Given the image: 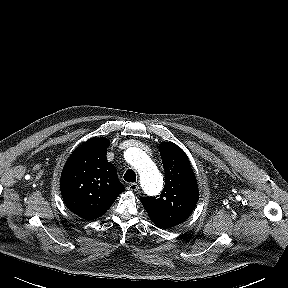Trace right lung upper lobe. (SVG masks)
Wrapping results in <instances>:
<instances>
[{
    "label": "right lung upper lobe",
    "instance_id": "right-lung-upper-lobe-1",
    "mask_svg": "<svg viewBox=\"0 0 288 288\" xmlns=\"http://www.w3.org/2000/svg\"><path fill=\"white\" fill-rule=\"evenodd\" d=\"M108 147V140L92 138L73 152L63 168V200L70 211L82 218L102 216L125 190L115 167L107 161Z\"/></svg>",
    "mask_w": 288,
    "mask_h": 288
}]
</instances>
